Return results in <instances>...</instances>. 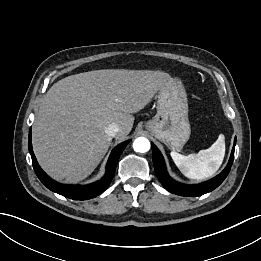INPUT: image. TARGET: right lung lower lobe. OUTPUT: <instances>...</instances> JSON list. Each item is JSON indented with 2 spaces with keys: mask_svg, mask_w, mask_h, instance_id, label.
Wrapping results in <instances>:
<instances>
[{
  "mask_svg": "<svg viewBox=\"0 0 261 261\" xmlns=\"http://www.w3.org/2000/svg\"><path fill=\"white\" fill-rule=\"evenodd\" d=\"M129 142H130V140L125 141V142L119 144L118 146H116L112 150L109 160L107 162L105 176L101 180H99L93 184L86 185V186H73V185L59 184V183L55 182L54 180H52L41 169V167L39 166V164L36 160V157L33 153V149H32L31 128L29 131L28 148H29V152L31 154L34 171H35L37 177L39 178V180L48 189H50L51 191L56 192L62 196L70 198V199L87 200V199H91V198H94V197L100 195L109 186V184L111 183V180L114 176L119 157Z\"/></svg>",
  "mask_w": 261,
  "mask_h": 261,
  "instance_id": "98d812e1",
  "label": "right lung lower lobe"
}]
</instances>
